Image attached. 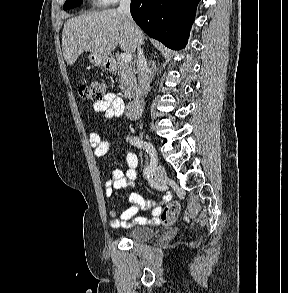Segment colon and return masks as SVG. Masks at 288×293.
<instances>
[{
    "label": "colon",
    "instance_id": "1",
    "mask_svg": "<svg viewBox=\"0 0 288 293\" xmlns=\"http://www.w3.org/2000/svg\"><path fill=\"white\" fill-rule=\"evenodd\" d=\"M106 84L99 81H91L80 85L78 93L81 98L98 102L102 100L106 94ZM180 212V205L178 202L168 203L159 214V223L164 226L174 223Z\"/></svg>",
    "mask_w": 288,
    "mask_h": 293
}]
</instances>
